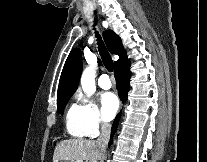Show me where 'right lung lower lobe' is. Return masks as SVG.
Returning a JSON list of instances; mask_svg holds the SVG:
<instances>
[{
    "instance_id": "right-lung-lower-lobe-1",
    "label": "right lung lower lobe",
    "mask_w": 207,
    "mask_h": 162,
    "mask_svg": "<svg viewBox=\"0 0 207 162\" xmlns=\"http://www.w3.org/2000/svg\"><path fill=\"white\" fill-rule=\"evenodd\" d=\"M129 67H130V63H129V61H127L114 69V76L116 79V87L119 91V96L122 101H126L127 93L130 88V86H129V79H130ZM119 118H120V114H118L116 116L114 123L112 125L111 141H112V136L115 133ZM111 141H110V143H111Z\"/></svg>"
}]
</instances>
